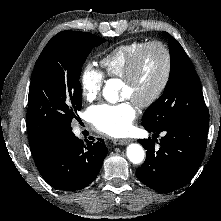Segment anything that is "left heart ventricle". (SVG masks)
<instances>
[{"label": "left heart ventricle", "instance_id": "1", "mask_svg": "<svg viewBox=\"0 0 221 221\" xmlns=\"http://www.w3.org/2000/svg\"><path fill=\"white\" fill-rule=\"evenodd\" d=\"M165 69L163 52L158 48L149 49L141 62L138 73L131 84L123 82L122 95L138 103L147 99L159 85Z\"/></svg>", "mask_w": 221, "mask_h": 221}]
</instances>
